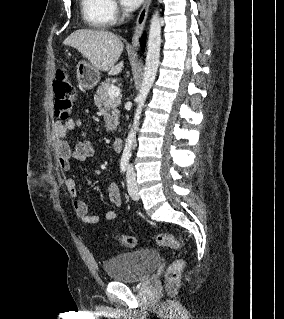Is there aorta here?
<instances>
[{
  "mask_svg": "<svg viewBox=\"0 0 284 319\" xmlns=\"http://www.w3.org/2000/svg\"><path fill=\"white\" fill-rule=\"evenodd\" d=\"M160 47H161V21L159 12L156 11L150 22V30L147 42L146 62L144 67L143 81L137 95V108L134 115L133 125L126 139L125 147L122 153V159L128 160L131 158V151L136 140V132L139 127V120L142 109L145 105L148 93L154 83L158 66L160 63Z\"/></svg>",
  "mask_w": 284,
  "mask_h": 319,
  "instance_id": "obj_1",
  "label": "aorta"
}]
</instances>
